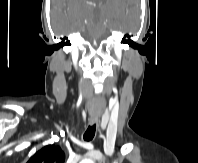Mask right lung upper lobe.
I'll use <instances>...</instances> for the list:
<instances>
[{"label":"right lung upper lobe","instance_id":"obj_1","mask_svg":"<svg viewBox=\"0 0 198 163\" xmlns=\"http://www.w3.org/2000/svg\"><path fill=\"white\" fill-rule=\"evenodd\" d=\"M65 156L58 146L47 145L36 152L27 163H64Z\"/></svg>","mask_w":198,"mask_h":163}]
</instances>
